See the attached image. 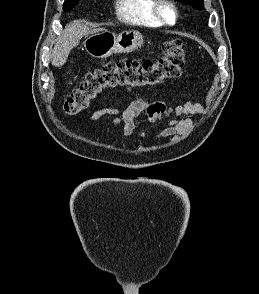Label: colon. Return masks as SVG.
Returning <instances> with one entry per match:
<instances>
[{
  "label": "colon",
  "instance_id": "5ec220e1",
  "mask_svg": "<svg viewBox=\"0 0 259 294\" xmlns=\"http://www.w3.org/2000/svg\"><path fill=\"white\" fill-rule=\"evenodd\" d=\"M162 57L156 61L123 59L111 61L88 72L80 84L63 100V110L75 115L86 109L105 89L156 86L177 78L185 63V44L180 39L166 40Z\"/></svg>",
  "mask_w": 259,
  "mask_h": 294
}]
</instances>
